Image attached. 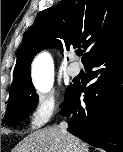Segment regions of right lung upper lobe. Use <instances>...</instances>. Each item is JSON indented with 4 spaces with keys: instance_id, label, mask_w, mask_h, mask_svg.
Wrapping results in <instances>:
<instances>
[{
    "instance_id": "1",
    "label": "right lung upper lobe",
    "mask_w": 123,
    "mask_h": 152,
    "mask_svg": "<svg viewBox=\"0 0 123 152\" xmlns=\"http://www.w3.org/2000/svg\"><path fill=\"white\" fill-rule=\"evenodd\" d=\"M123 37L122 0H63L43 10L28 29L17 57L10 95L32 83L30 64L41 49L63 51L82 47L85 63L107 45ZM63 42V43H62Z\"/></svg>"
}]
</instances>
